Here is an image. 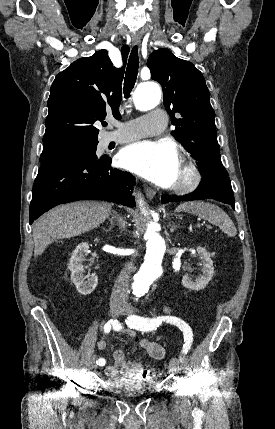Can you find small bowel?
Instances as JSON below:
<instances>
[{
	"label": "small bowel",
	"instance_id": "c3829d8e",
	"mask_svg": "<svg viewBox=\"0 0 275 429\" xmlns=\"http://www.w3.org/2000/svg\"><path fill=\"white\" fill-rule=\"evenodd\" d=\"M166 311L169 312L168 309ZM123 332L127 337L131 339L135 338V331L133 329L127 328L124 329ZM136 343L139 347L144 349L150 357L156 360H161L166 356L165 348L156 342L149 341L147 339H136ZM98 348L101 350L107 348V341L105 338L99 340ZM113 359L114 364L108 365L106 368L107 374L110 376H115L117 373L136 376L139 375L144 369V364L140 361L127 362L125 359V354L121 349H116L113 352Z\"/></svg>",
	"mask_w": 275,
	"mask_h": 429
}]
</instances>
